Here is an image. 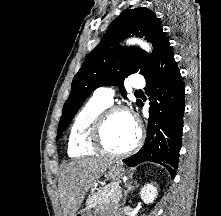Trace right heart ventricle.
<instances>
[{
    "instance_id": "right-heart-ventricle-1",
    "label": "right heart ventricle",
    "mask_w": 221,
    "mask_h": 216,
    "mask_svg": "<svg viewBox=\"0 0 221 216\" xmlns=\"http://www.w3.org/2000/svg\"><path fill=\"white\" fill-rule=\"evenodd\" d=\"M107 107L92 98L78 112L68 134L67 150L70 157H86L96 153L90 144V130Z\"/></svg>"
}]
</instances>
